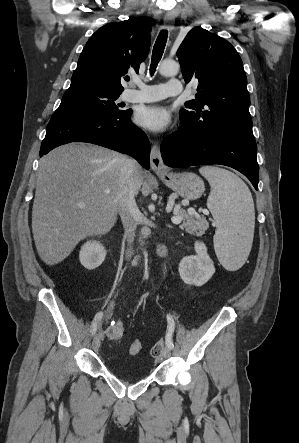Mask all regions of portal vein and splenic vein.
I'll use <instances>...</instances> for the list:
<instances>
[{"mask_svg":"<svg viewBox=\"0 0 299 443\" xmlns=\"http://www.w3.org/2000/svg\"><path fill=\"white\" fill-rule=\"evenodd\" d=\"M78 206H79L80 208H83V207H84V205L81 204V203H79ZM171 210H172V208H170V207L167 208V212H170ZM188 212H189V214H191V215L196 214V212H195L193 209L189 210ZM181 221H182L181 217L178 216L177 214H176V216H174V217L172 218V222H173L174 224H180Z\"/></svg>","mask_w":299,"mask_h":443,"instance_id":"portal-vein-and-splenic-vein-1","label":"portal vein and splenic vein"}]
</instances>
